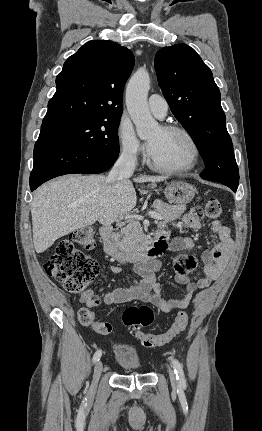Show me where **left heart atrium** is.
Masks as SVG:
<instances>
[{
    "label": "left heart atrium",
    "instance_id": "1",
    "mask_svg": "<svg viewBox=\"0 0 262 431\" xmlns=\"http://www.w3.org/2000/svg\"><path fill=\"white\" fill-rule=\"evenodd\" d=\"M148 149H149V152L151 153V151L153 149V144L150 142H148Z\"/></svg>",
    "mask_w": 262,
    "mask_h": 431
}]
</instances>
